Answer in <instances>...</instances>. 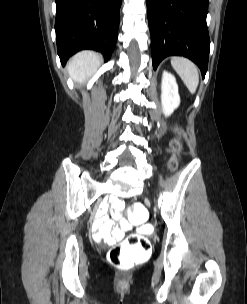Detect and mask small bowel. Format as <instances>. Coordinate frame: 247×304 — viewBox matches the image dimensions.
<instances>
[{
  "instance_id": "small-bowel-1",
  "label": "small bowel",
  "mask_w": 247,
  "mask_h": 304,
  "mask_svg": "<svg viewBox=\"0 0 247 304\" xmlns=\"http://www.w3.org/2000/svg\"><path fill=\"white\" fill-rule=\"evenodd\" d=\"M122 202L114 197L108 199L98 210L96 218L93 222L94 238L97 241H105L113 243L121 239L126 231L131 228V225H126L125 220H120V225L115 227L114 220L107 217L109 206L118 209ZM119 217V214H117Z\"/></svg>"
}]
</instances>
